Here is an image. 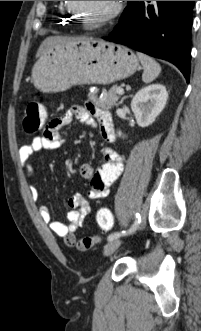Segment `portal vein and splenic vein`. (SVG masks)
I'll return each instance as SVG.
<instances>
[{"label": "portal vein and splenic vein", "mask_w": 201, "mask_h": 331, "mask_svg": "<svg viewBox=\"0 0 201 331\" xmlns=\"http://www.w3.org/2000/svg\"><path fill=\"white\" fill-rule=\"evenodd\" d=\"M116 93H117L118 95H123V94H124V89H122V88H118V89L116 90Z\"/></svg>", "instance_id": "obj_1"}]
</instances>
